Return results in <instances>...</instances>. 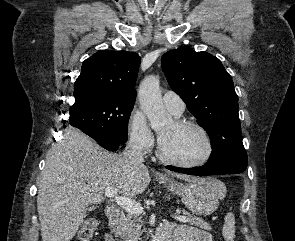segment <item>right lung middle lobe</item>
<instances>
[{
    "label": "right lung middle lobe",
    "instance_id": "dd1d6c3e",
    "mask_svg": "<svg viewBox=\"0 0 295 241\" xmlns=\"http://www.w3.org/2000/svg\"><path fill=\"white\" fill-rule=\"evenodd\" d=\"M134 102L102 96L76 100L69 110L68 125L80 129L94 140L113 145L124 144Z\"/></svg>",
    "mask_w": 295,
    "mask_h": 241
}]
</instances>
